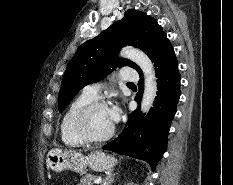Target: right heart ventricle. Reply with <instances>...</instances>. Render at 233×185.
Here are the masks:
<instances>
[{
    "mask_svg": "<svg viewBox=\"0 0 233 185\" xmlns=\"http://www.w3.org/2000/svg\"><path fill=\"white\" fill-rule=\"evenodd\" d=\"M91 101L92 99L81 95L74 99L66 109L60 123L61 139L66 146L80 147L85 143L76 134L74 120L78 112Z\"/></svg>",
    "mask_w": 233,
    "mask_h": 185,
    "instance_id": "1",
    "label": "right heart ventricle"
}]
</instances>
